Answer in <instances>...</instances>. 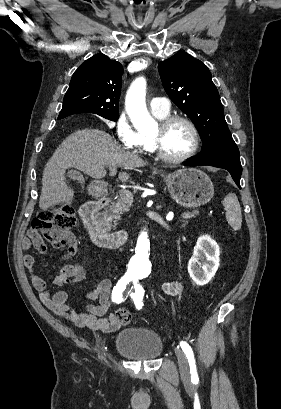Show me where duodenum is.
<instances>
[{
  "label": "duodenum",
  "instance_id": "duodenum-1",
  "mask_svg": "<svg viewBox=\"0 0 281 409\" xmlns=\"http://www.w3.org/2000/svg\"><path fill=\"white\" fill-rule=\"evenodd\" d=\"M108 186H99L95 196L98 201H87L81 209V218L89 232L94 245L100 249H117L129 239L126 231L108 232L102 224L101 209L105 203H110L111 196Z\"/></svg>",
  "mask_w": 281,
  "mask_h": 409
}]
</instances>
